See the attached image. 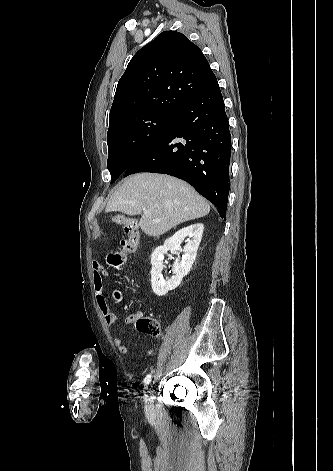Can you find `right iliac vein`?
<instances>
[{"label":"right iliac vein","instance_id":"right-iliac-vein-1","mask_svg":"<svg viewBox=\"0 0 333 471\" xmlns=\"http://www.w3.org/2000/svg\"><path fill=\"white\" fill-rule=\"evenodd\" d=\"M152 390H153V387L149 386L146 392V396H145V408L147 411H150L152 407V397H151Z\"/></svg>","mask_w":333,"mask_h":471}]
</instances>
